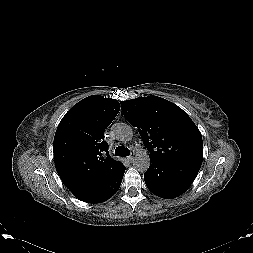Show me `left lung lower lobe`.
Listing matches in <instances>:
<instances>
[{
    "instance_id": "left-lung-lower-lobe-1",
    "label": "left lung lower lobe",
    "mask_w": 253,
    "mask_h": 253,
    "mask_svg": "<svg viewBox=\"0 0 253 253\" xmlns=\"http://www.w3.org/2000/svg\"><path fill=\"white\" fill-rule=\"evenodd\" d=\"M200 167V164L186 160L150 159L144 180L153 194L171 199L180 196L190 187Z\"/></svg>"
}]
</instances>
